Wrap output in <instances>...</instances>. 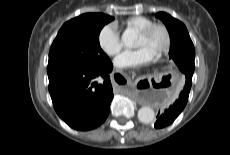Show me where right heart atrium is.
<instances>
[{"label":"right heart atrium","mask_w":230,"mask_h":155,"mask_svg":"<svg viewBox=\"0 0 230 155\" xmlns=\"http://www.w3.org/2000/svg\"><path fill=\"white\" fill-rule=\"evenodd\" d=\"M98 45L108 56L117 55L122 49V42L117 28L108 24L103 26L98 33Z\"/></svg>","instance_id":"obj_1"}]
</instances>
